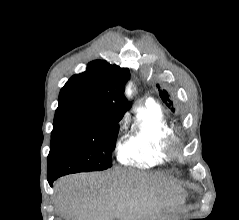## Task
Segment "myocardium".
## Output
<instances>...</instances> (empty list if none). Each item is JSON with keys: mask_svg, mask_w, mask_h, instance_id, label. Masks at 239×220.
I'll return each mask as SVG.
<instances>
[{"mask_svg": "<svg viewBox=\"0 0 239 220\" xmlns=\"http://www.w3.org/2000/svg\"><path fill=\"white\" fill-rule=\"evenodd\" d=\"M165 149L166 152L171 154L174 157L182 158L179 154V139L173 134H169L165 140Z\"/></svg>", "mask_w": 239, "mask_h": 220, "instance_id": "myocardium-1", "label": "myocardium"}]
</instances>
